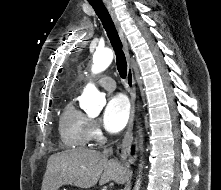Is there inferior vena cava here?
Segmentation results:
<instances>
[{
    "instance_id": "1",
    "label": "inferior vena cava",
    "mask_w": 221,
    "mask_h": 190,
    "mask_svg": "<svg viewBox=\"0 0 221 190\" xmlns=\"http://www.w3.org/2000/svg\"><path fill=\"white\" fill-rule=\"evenodd\" d=\"M113 153L112 148H104L103 154L104 155H111Z\"/></svg>"
}]
</instances>
